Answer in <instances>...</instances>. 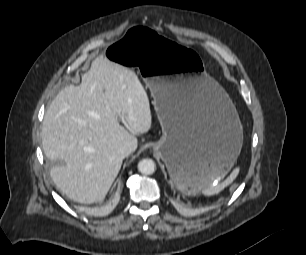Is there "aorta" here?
Masks as SVG:
<instances>
[{"label": "aorta", "instance_id": "obj_1", "mask_svg": "<svg viewBox=\"0 0 306 255\" xmlns=\"http://www.w3.org/2000/svg\"><path fill=\"white\" fill-rule=\"evenodd\" d=\"M155 169H156L155 162L152 159L149 158L142 159L138 163V170L142 174L151 175L155 172Z\"/></svg>", "mask_w": 306, "mask_h": 255}]
</instances>
